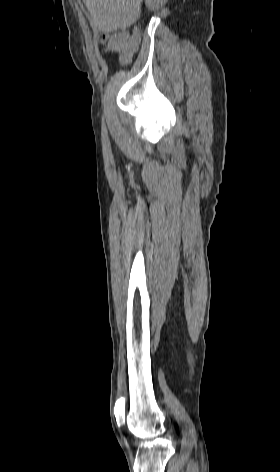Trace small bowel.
<instances>
[{"mask_svg": "<svg viewBox=\"0 0 280 472\" xmlns=\"http://www.w3.org/2000/svg\"><path fill=\"white\" fill-rule=\"evenodd\" d=\"M140 43V36L137 30L131 35L121 32L117 33L109 41L108 49L121 52V56L130 57L137 50Z\"/></svg>", "mask_w": 280, "mask_h": 472, "instance_id": "small-bowel-1", "label": "small bowel"}]
</instances>
